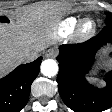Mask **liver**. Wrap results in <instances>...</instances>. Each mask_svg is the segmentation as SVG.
<instances>
[{
    "label": "liver",
    "mask_w": 112,
    "mask_h": 112,
    "mask_svg": "<svg viewBox=\"0 0 112 112\" xmlns=\"http://www.w3.org/2000/svg\"><path fill=\"white\" fill-rule=\"evenodd\" d=\"M64 12L65 8L57 3L33 4L22 9L13 26L0 23V77L21 63V52L46 49V28Z\"/></svg>",
    "instance_id": "liver-1"
}]
</instances>
